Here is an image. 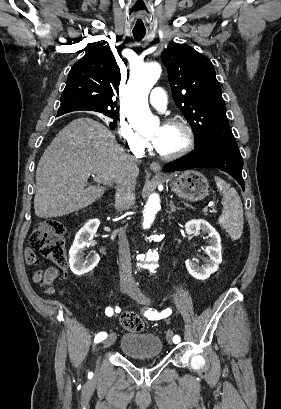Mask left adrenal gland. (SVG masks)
<instances>
[{"mask_svg":"<svg viewBox=\"0 0 281 409\" xmlns=\"http://www.w3.org/2000/svg\"><path fill=\"white\" fill-rule=\"evenodd\" d=\"M169 207H170L171 213H173V211H180L179 207H175L173 200H170Z\"/></svg>","mask_w":281,"mask_h":409,"instance_id":"a2214340","label":"left adrenal gland"}]
</instances>
